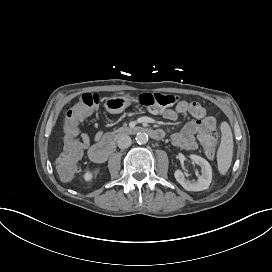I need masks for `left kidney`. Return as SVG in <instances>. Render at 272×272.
<instances>
[{
  "label": "left kidney",
  "instance_id": "left-kidney-1",
  "mask_svg": "<svg viewBox=\"0 0 272 272\" xmlns=\"http://www.w3.org/2000/svg\"><path fill=\"white\" fill-rule=\"evenodd\" d=\"M190 159L201 167L202 175L198 177L197 181H189L185 179L181 170H176L174 173L175 179L187 191H202L208 189L212 181V168L210 164L207 160L198 155L192 154L190 155Z\"/></svg>",
  "mask_w": 272,
  "mask_h": 272
}]
</instances>
